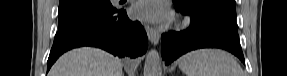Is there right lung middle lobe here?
Wrapping results in <instances>:
<instances>
[{
	"mask_svg": "<svg viewBox=\"0 0 287 76\" xmlns=\"http://www.w3.org/2000/svg\"><path fill=\"white\" fill-rule=\"evenodd\" d=\"M115 8L110 0H60L59 29L76 21L102 16Z\"/></svg>",
	"mask_w": 287,
	"mask_h": 76,
	"instance_id": "right-lung-middle-lobe-1",
	"label": "right lung middle lobe"
}]
</instances>
